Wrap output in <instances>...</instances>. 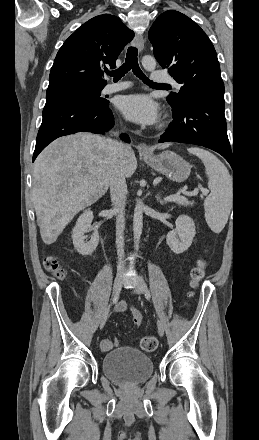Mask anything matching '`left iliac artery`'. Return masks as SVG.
Segmentation results:
<instances>
[{
  "mask_svg": "<svg viewBox=\"0 0 259 440\" xmlns=\"http://www.w3.org/2000/svg\"><path fill=\"white\" fill-rule=\"evenodd\" d=\"M143 286L145 288V293H146L145 295H146V297L150 298L151 297L150 292H149L148 287H147V285H146V283L144 281H143Z\"/></svg>",
  "mask_w": 259,
  "mask_h": 440,
  "instance_id": "obj_1",
  "label": "left iliac artery"
}]
</instances>
